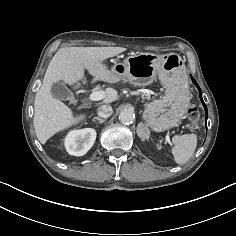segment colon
I'll use <instances>...</instances> for the list:
<instances>
[{
    "label": "colon",
    "instance_id": "5ec220e1",
    "mask_svg": "<svg viewBox=\"0 0 236 236\" xmlns=\"http://www.w3.org/2000/svg\"><path fill=\"white\" fill-rule=\"evenodd\" d=\"M187 118L190 124L191 131L198 132L199 131V118H200L199 111L196 108H190L187 113Z\"/></svg>",
    "mask_w": 236,
    "mask_h": 236
}]
</instances>
